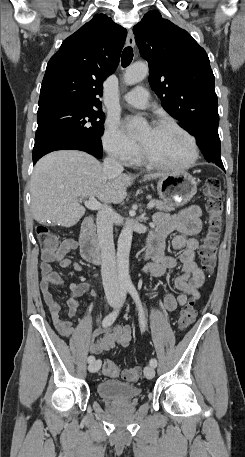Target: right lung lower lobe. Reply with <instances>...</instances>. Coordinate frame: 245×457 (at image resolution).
I'll return each mask as SVG.
<instances>
[{
    "label": "right lung lower lobe",
    "mask_w": 245,
    "mask_h": 457,
    "mask_svg": "<svg viewBox=\"0 0 245 457\" xmlns=\"http://www.w3.org/2000/svg\"><path fill=\"white\" fill-rule=\"evenodd\" d=\"M66 149H73V150H81L85 151L90 154L87 147H85L82 143L64 139V138H55L50 140L42 141L38 144L34 145L33 149V163L35 164L42 156L47 153L56 150H66Z\"/></svg>",
    "instance_id": "obj_1"
}]
</instances>
